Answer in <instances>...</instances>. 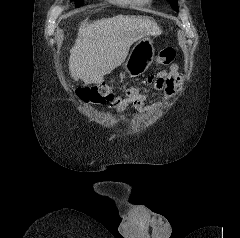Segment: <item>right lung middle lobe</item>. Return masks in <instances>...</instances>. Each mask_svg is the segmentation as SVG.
I'll use <instances>...</instances> for the list:
<instances>
[{
	"mask_svg": "<svg viewBox=\"0 0 240 238\" xmlns=\"http://www.w3.org/2000/svg\"><path fill=\"white\" fill-rule=\"evenodd\" d=\"M76 1V6H79L83 3L84 0H75Z\"/></svg>",
	"mask_w": 240,
	"mask_h": 238,
	"instance_id": "right-lung-middle-lobe-1",
	"label": "right lung middle lobe"
}]
</instances>
